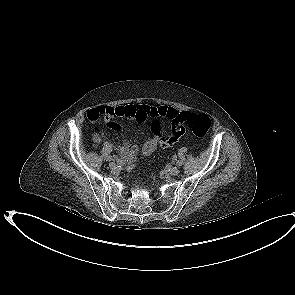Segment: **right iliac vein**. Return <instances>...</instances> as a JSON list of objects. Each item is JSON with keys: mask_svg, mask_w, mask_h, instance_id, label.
<instances>
[{"mask_svg": "<svg viewBox=\"0 0 295 295\" xmlns=\"http://www.w3.org/2000/svg\"><path fill=\"white\" fill-rule=\"evenodd\" d=\"M110 168L114 169L116 167V164L114 162L109 163Z\"/></svg>", "mask_w": 295, "mask_h": 295, "instance_id": "63e3f726", "label": "right iliac vein"}]
</instances>
